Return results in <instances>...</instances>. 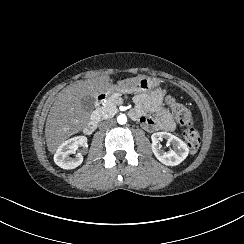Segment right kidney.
<instances>
[{
  "mask_svg": "<svg viewBox=\"0 0 244 244\" xmlns=\"http://www.w3.org/2000/svg\"><path fill=\"white\" fill-rule=\"evenodd\" d=\"M80 147H88L85 136H77L65 141L54 154V163L64 170H72L79 167L83 163L82 154L80 153L75 158H71L70 155L75 154Z\"/></svg>",
  "mask_w": 244,
  "mask_h": 244,
  "instance_id": "right-kidney-1",
  "label": "right kidney"
}]
</instances>
